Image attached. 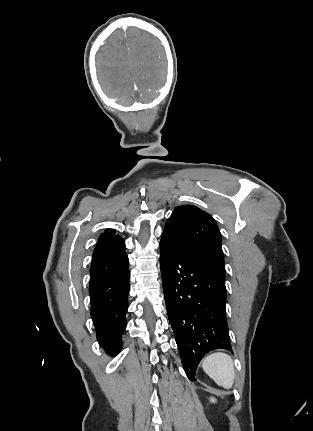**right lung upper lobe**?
I'll use <instances>...</instances> for the list:
<instances>
[{
	"label": "right lung upper lobe",
	"mask_w": 313,
	"mask_h": 431,
	"mask_svg": "<svg viewBox=\"0 0 313 431\" xmlns=\"http://www.w3.org/2000/svg\"><path fill=\"white\" fill-rule=\"evenodd\" d=\"M118 239H121V237H120V236H118V235H115V232H114V231H110V232L105 231V232H104L103 234H101V236L99 237L98 242H97V244H96V248H95V250H97V249H99V248H101V247L105 246V245H106V244H108V243H111V242H113V241H115V240H118Z\"/></svg>",
	"instance_id": "cb5924a9"
}]
</instances>
